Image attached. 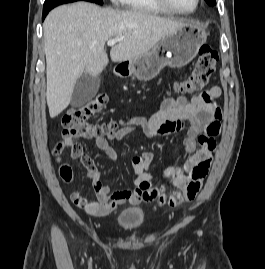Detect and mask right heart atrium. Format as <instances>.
Segmentation results:
<instances>
[{
  "label": "right heart atrium",
  "mask_w": 265,
  "mask_h": 269,
  "mask_svg": "<svg viewBox=\"0 0 265 269\" xmlns=\"http://www.w3.org/2000/svg\"><path fill=\"white\" fill-rule=\"evenodd\" d=\"M112 3H118L120 2L121 0H110Z\"/></svg>",
  "instance_id": "right-heart-atrium-1"
}]
</instances>
